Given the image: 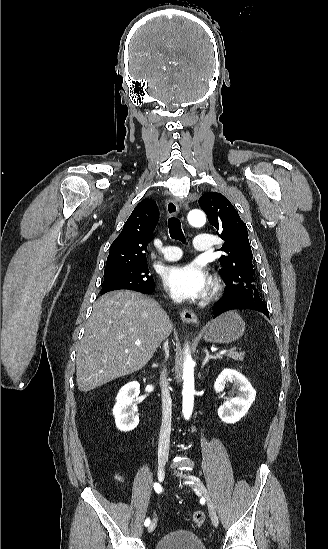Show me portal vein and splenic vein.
I'll return each instance as SVG.
<instances>
[{"label": "portal vein and splenic vein", "mask_w": 328, "mask_h": 549, "mask_svg": "<svg viewBox=\"0 0 328 549\" xmlns=\"http://www.w3.org/2000/svg\"><path fill=\"white\" fill-rule=\"evenodd\" d=\"M135 345H141L140 341H135ZM223 353H228V350H219V355H223Z\"/></svg>", "instance_id": "obj_1"}]
</instances>
